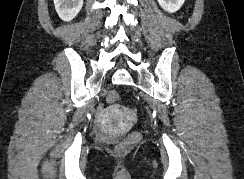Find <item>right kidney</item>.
Here are the masks:
<instances>
[{
  "mask_svg": "<svg viewBox=\"0 0 244 179\" xmlns=\"http://www.w3.org/2000/svg\"><path fill=\"white\" fill-rule=\"evenodd\" d=\"M53 2L55 10L63 22H70L76 18L83 6V0H53Z\"/></svg>",
  "mask_w": 244,
  "mask_h": 179,
  "instance_id": "right-kidney-1",
  "label": "right kidney"
}]
</instances>
